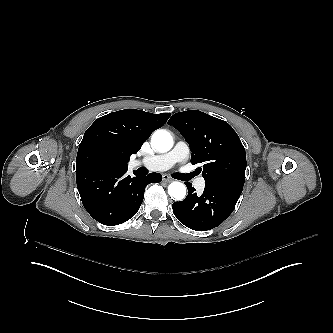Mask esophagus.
<instances>
[{"instance_id":"34e87169","label":"esophagus","mask_w":333,"mask_h":333,"mask_svg":"<svg viewBox=\"0 0 333 333\" xmlns=\"http://www.w3.org/2000/svg\"><path fill=\"white\" fill-rule=\"evenodd\" d=\"M162 179H163L164 182H167V183L173 181V179L169 175H163Z\"/></svg>"}]
</instances>
